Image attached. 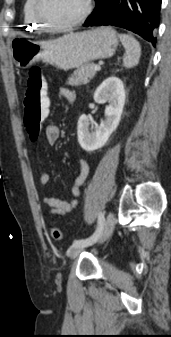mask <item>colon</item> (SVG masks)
Returning <instances> with one entry per match:
<instances>
[{
    "label": "colon",
    "mask_w": 171,
    "mask_h": 337,
    "mask_svg": "<svg viewBox=\"0 0 171 337\" xmlns=\"http://www.w3.org/2000/svg\"><path fill=\"white\" fill-rule=\"evenodd\" d=\"M46 82L39 67L34 66L29 70L27 87L24 98V127L31 138H36L41 129V123L45 116H50V94H45ZM54 240L63 237L59 227L53 226L49 230Z\"/></svg>",
    "instance_id": "colon-1"
}]
</instances>
